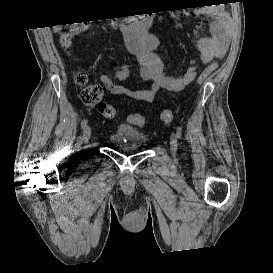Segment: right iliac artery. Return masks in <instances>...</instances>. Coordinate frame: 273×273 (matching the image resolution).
<instances>
[{"label":"right iliac artery","mask_w":273,"mask_h":273,"mask_svg":"<svg viewBox=\"0 0 273 273\" xmlns=\"http://www.w3.org/2000/svg\"><path fill=\"white\" fill-rule=\"evenodd\" d=\"M87 122H88L87 119L84 118V119L82 120V122H81V127H82V128H85Z\"/></svg>","instance_id":"1"}]
</instances>
